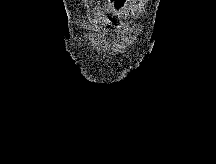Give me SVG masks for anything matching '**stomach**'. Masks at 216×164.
Here are the masks:
<instances>
[{
	"instance_id": "obj_1",
	"label": "stomach",
	"mask_w": 216,
	"mask_h": 164,
	"mask_svg": "<svg viewBox=\"0 0 216 164\" xmlns=\"http://www.w3.org/2000/svg\"><path fill=\"white\" fill-rule=\"evenodd\" d=\"M109 3H126V0H108ZM106 11L107 12H117L118 11V8L117 7H107L106 8ZM106 20H116L117 19V16L116 15H106Z\"/></svg>"
}]
</instances>
